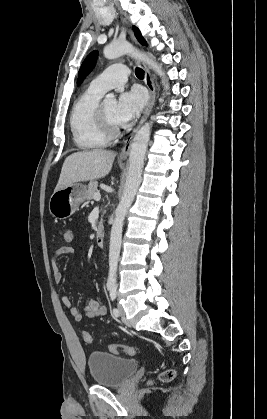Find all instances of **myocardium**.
<instances>
[{
  "label": "myocardium",
  "mask_w": 267,
  "mask_h": 419,
  "mask_svg": "<svg viewBox=\"0 0 267 419\" xmlns=\"http://www.w3.org/2000/svg\"><path fill=\"white\" fill-rule=\"evenodd\" d=\"M97 120L100 127V130L102 133L109 139L117 137L121 129L119 126L112 125L104 111L103 104H99L98 110H97Z\"/></svg>",
  "instance_id": "myocardium-1"
}]
</instances>
